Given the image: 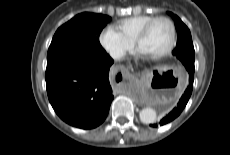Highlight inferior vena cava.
<instances>
[{
  "instance_id": "inferior-vena-cava-1",
  "label": "inferior vena cava",
  "mask_w": 230,
  "mask_h": 155,
  "mask_svg": "<svg viewBox=\"0 0 230 155\" xmlns=\"http://www.w3.org/2000/svg\"><path fill=\"white\" fill-rule=\"evenodd\" d=\"M110 55L113 59H120L124 56V51L117 49V50L112 51Z\"/></svg>"
}]
</instances>
